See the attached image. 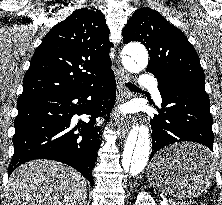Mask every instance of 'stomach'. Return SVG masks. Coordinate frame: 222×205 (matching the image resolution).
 I'll return each mask as SVG.
<instances>
[{"label": "stomach", "mask_w": 222, "mask_h": 205, "mask_svg": "<svg viewBox=\"0 0 222 205\" xmlns=\"http://www.w3.org/2000/svg\"><path fill=\"white\" fill-rule=\"evenodd\" d=\"M195 151H205V148L198 144L183 143L156 154L147 168L150 185L162 193L180 198L202 194L211 183L213 167L211 164L183 162L188 153Z\"/></svg>", "instance_id": "1"}]
</instances>
